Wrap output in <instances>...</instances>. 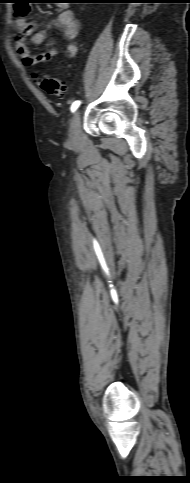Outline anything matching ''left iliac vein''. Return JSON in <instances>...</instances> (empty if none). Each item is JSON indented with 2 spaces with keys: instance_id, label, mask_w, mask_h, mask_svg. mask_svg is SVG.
Returning <instances> with one entry per match:
<instances>
[{
  "instance_id": "left-iliac-vein-1",
  "label": "left iliac vein",
  "mask_w": 190,
  "mask_h": 483,
  "mask_svg": "<svg viewBox=\"0 0 190 483\" xmlns=\"http://www.w3.org/2000/svg\"><path fill=\"white\" fill-rule=\"evenodd\" d=\"M81 138L80 110H77L71 118L70 144H77Z\"/></svg>"
}]
</instances>
